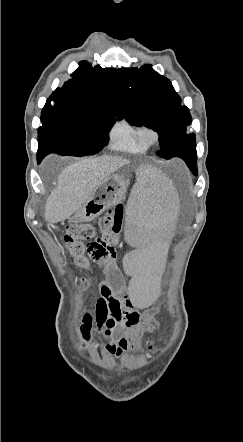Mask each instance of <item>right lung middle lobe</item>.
Segmentation results:
<instances>
[{"label":"right lung middle lobe","instance_id":"dd1d6c3e","mask_svg":"<svg viewBox=\"0 0 243 442\" xmlns=\"http://www.w3.org/2000/svg\"><path fill=\"white\" fill-rule=\"evenodd\" d=\"M38 128L37 156L55 152L85 156L98 153L108 142L107 132L115 123L107 115L82 114L47 101Z\"/></svg>","mask_w":243,"mask_h":442}]
</instances>
